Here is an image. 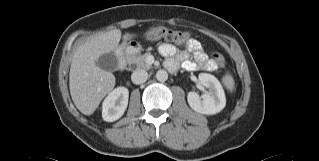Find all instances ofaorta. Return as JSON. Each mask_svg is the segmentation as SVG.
Returning a JSON list of instances; mask_svg holds the SVG:
<instances>
[{
  "label": "aorta",
  "mask_w": 319,
  "mask_h": 161,
  "mask_svg": "<svg viewBox=\"0 0 319 161\" xmlns=\"http://www.w3.org/2000/svg\"><path fill=\"white\" fill-rule=\"evenodd\" d=\"M156 78L160 82H165L168 79V73L165 70H158L156 73Z\"/></svg>",
  "instance_id": "aorta-1"
}]
</instances>
